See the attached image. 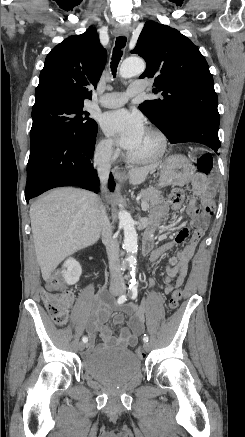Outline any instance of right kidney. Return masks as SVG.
I'll list each match as a JSON object with an SVG mask.
<instances>
[{"mask_svg": "<svg viewBox=\"0 0 245 437\" xmlns=\"http://www.w3.org/2000/svg\"><path fill=\"white\" fill-rule=\"evenodd\" d=\"M82 273V268L78 261L74 258H68L63 264L62 275L67 284L73 285L79 281Z\"/></svg>", "mask_w": 245, "mask_h": 437, "instance_id": "right-kidney-1", "label": "right kidney"}]
</instances>
